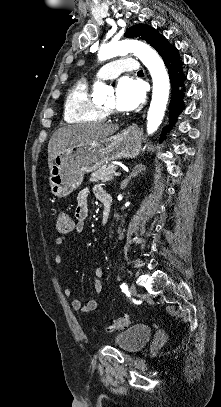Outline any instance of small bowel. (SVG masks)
I'll list each match as a JSON object with an SVG mask.
<instances>
[{
	"label": "small bowel",
	"mask_w": 221,
	"mask_h": 407,
	"mask_svg": "<svg viewBox=\"0 0 221 407\" xmlns=\"http://www.w3.org/2000/svg\"><path fill=\"white\" fill-rule=\"evenodd\" d=\"M94 194L96 198L102 202L103 197L106 194H109L103 187L96 186L94 189ZM88 195L89 191L87 189H83L79 192L77 196V207L75 209V224L73 228L74 233H81L86 225V220L89 214V206H88ZM66 239V236H59L56 239V244L61 245ZM55 261L60 264L62 259L60 256L55 257ZM105 276V272L102 268L98 267L94 270V281H93V288L96 293H101L103 290L102 280ZM64 293L67 297L73 296V291L71 289H65ZM72 307L80 311L81 313H90L95 311L98 307V301L95 299L88 300L85 304L78 299H74L72 301Z\"/></svg>",
	"instance_id": "small-bowel-1"
}]
</instances>
